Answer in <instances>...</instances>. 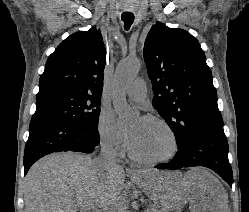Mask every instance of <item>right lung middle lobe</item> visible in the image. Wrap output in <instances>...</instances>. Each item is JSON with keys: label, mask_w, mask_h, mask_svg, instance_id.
<instances>
[{"label": "right lung middle lobe", "mask_w": 249, "mask_h": 212, "mask_svg": "<svg viewBox=\"0 0 249 212\" xmlns=\"http://www.w3.org/2000/svg\"><path fill=\"white\" fill-rule=\"evenodd\" d=\"M101 96L78 92H51L36 96L30 127L40 123L66 122L97 129Z\"/></svg>", "instance_id": "right-lung-middle-lobe-1"}]
</instances>
